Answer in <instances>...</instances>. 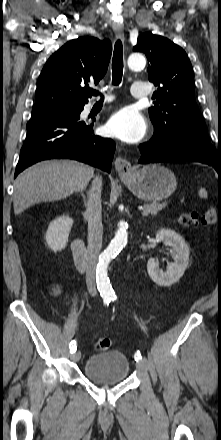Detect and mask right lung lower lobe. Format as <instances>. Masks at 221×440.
Returning <instances> with one entry per match:
<instances>
[{
    "mask_svg": "<svg viewBox=\"0 0 221 440\" xmlns=\"http://www.w3.org/2000/svg\"><path fill=\"white\" fill-rule=\"evenodd\" d=\"M82 110L32 116L14 177L36 162L56 158L75 159L110 172L115 143L94 135V122L80 121Z\"/></svg>",
    "mask_w": 221,
    "mask_h": 440,
    "instance_id": "obj_1",
    "label": "right lung lower lobe"
}]
</instances>
